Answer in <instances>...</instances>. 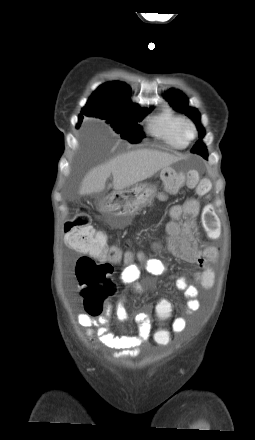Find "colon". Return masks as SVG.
I'll use <instances>...</instances> for the list:
<instances>
[{"label": "colon", "mask_w": 255, "mask_h": 440, "mask_svg": "<svg viewBox=\"0 0 255 440\" xmlns=\"http://www.w3.org/2000/svg\"><path fill=\"white\" fill-rule=\"evenodd\" d=\"M162 180L164 189L168 193H175L181 186H186L194 189L198 195L204 196L210 188L209 181L200 180L196 170L185 172L168 170L163 174ZM217 222L218 216L213 206L205 205L201 212L202 226L208 232L214 233L212 229L217 228ZM64 232L67 244L76 252L83 254L76 261V277L83 287L87 313L90 316H97L103 309L104 301L115 292L111 278L113 264L129 261L131 256L115 246H109L106 236L92 227L88 214L78 213L67 220ZM154 302L158 316L167 318L173 308L170 298H155ZM151 338L156 342L157 348H167L171 339L170 331L156 330Z\"/></svg>", "instance_id": "5ec220e1"}]
</instances>
